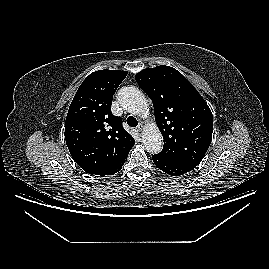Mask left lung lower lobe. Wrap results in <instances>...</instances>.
Listing matches in <instances>:
<instances>
[{
  "instance_id": "obj_1",
  "label": "left lung lower lobe",
  "mask_w": 269,
  "mask_h": 269,
  "mask_svg": "<svg viewBox=\"0 0 269 269\" xmlns=\"http://www.w3.org/2000/svg\"><path fill=\"white\" fill-rule=\"evenodd\" d=\"M152 159H153L154 164L160 170L172 176L183 175L196 167V166H192L188 164H177V163L168 161L158 156L157 154L153 155Z\"/></svg>"
}]
</instances>
